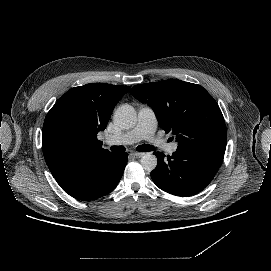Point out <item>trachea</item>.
I'll return each instance as SVG.
<instances>
[{
	"label": "trachea",
	"instance_id": "trachea-1",
	"mask_svg": "<svg viewBox=\"0 0 271 271\" xmlns=\"http://www.w3.org/2000/svg\"><path fill=\"white\" fill-rule=\"evenodd\" d=\"M111 151L113 152H123L126 150V148L124 146H112L110 147ZM136 150L141 151V152H149L153 150V147L150 145H140L138 147H136Z\"/></svg>",
	"mask_w": 271,
	"mask_h": 271
}]
</instances>
